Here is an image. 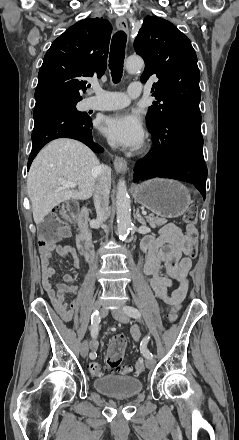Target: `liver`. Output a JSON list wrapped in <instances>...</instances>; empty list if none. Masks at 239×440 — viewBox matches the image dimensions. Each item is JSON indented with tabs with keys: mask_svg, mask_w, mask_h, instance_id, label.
<instances>
[{
	"mask_svg": "<svg viewBox=\"0 0 239 440\" xmlns=\"http://www.w3.org/2000/svg\"><path fill=\"white\" fill-rule=\"evenodd\" d=\"M100 166L95 154L77 140L59 138L47 144L29 170L27 190L36 226L52 208L66 200H89L93 196ZM59 178L77 184L78 190L62 188Z\"/></svg>",
	"mask_w": 239,
	"mask_h": 440,
	"instance_id": "liver-1",
	"label": "liver"
}]
</instances>
